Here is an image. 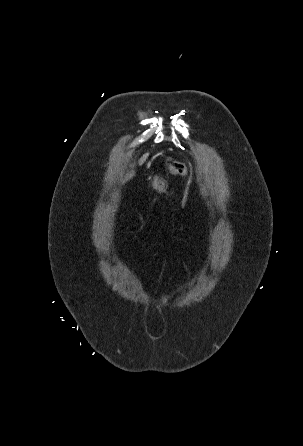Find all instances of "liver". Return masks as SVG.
<instances>
[{
  "instance_id": "1",
  "label": "liver",
  "mask_w": 303,
  "mask_h": 446,
  "mask_svg": "<svg viewBox=\"0 0 303 446\" xmlns=\"http://www.w3.org/2000/svg\"><path fill=\"white\" fill-rule=\"evenodd\" d=\"M148 153L147 154H144L141 158H140V160H139V164L140 165H142L145 161H146V159L148 158Z\"/></svg>"
}]
</instances>
